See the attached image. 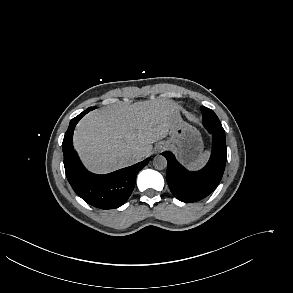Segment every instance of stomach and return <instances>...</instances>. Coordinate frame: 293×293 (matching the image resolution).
I'll return each mask as SVG.
<instances>
[{
	"instance_id": "0dacf381",
	"label": "stomach",
	"mask_w": 293,
	"mask_h": 293,
	"mask_svg": "<svg viewBox=\"0 0 293 293\" xmlns=\"http://www.w3.org/2000/svg\"><path fill=\"white\" fill-rule=\"evenodd\" d=\"M169 135L167 147L177 154L183 164L189 166L202 154L204 146L201 134L195 127L184 122L180 115L172 118Z\"/></svg>"
}]
</instances>
